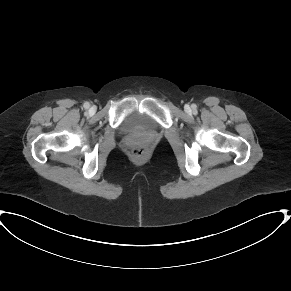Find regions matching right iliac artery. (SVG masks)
Listing matches in <instances>:
<instances>
[{
	"label": "right iliac artery",
	"mask_w": 291,
	"mask_h": 291,
	"mask_svg": "<svg viewBox=\"0 0 291 291\" xmlns=\"http://www.w3.org/2000/svg\"><path fill=\"white\" fill-rule=\"evenodd\" d=\"M89 107H90V104H89V103H85V104H84V108H85V109H88Z\"/></svg>",
	"instance_id": "right-iliac-artery-1"
}]
</instances>
